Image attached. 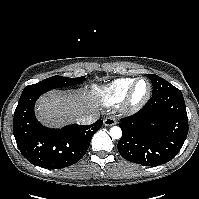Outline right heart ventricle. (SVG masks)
I'll return each instance as SVG.
<instances>
[{
	"instance_id": "e07e8e85",
	"label": "right heart ventricle",
	"mask_w": 199,
	"mask_h": 199,
	"mask_svg": "<svg viewBox=\"0 0 199 199\" xmlns=\"http://www.w3.org/2000/svg\"><path fill=\"white\" fill-rule=\"evenodd\" d=\"M133 81L132 78H120L107 85L95 87L94 96L103 106H114L124 100Z\"/></svg>"
}]
</instances>
